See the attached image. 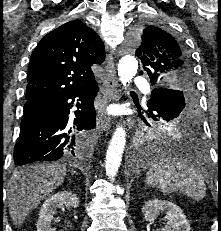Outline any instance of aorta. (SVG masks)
Returning a JSON list of instances; mask_svg holds the SVG:
<instances>
[{
  "label": "aorta",
  "mask_w": 221,
  "mask_h": 231,
  "mask_svg": "<svg viewBox=\"0 0 221 231\" xmlns=\"http://www.w3.org/2000/svg\"><path fill=\"white\" fill-rule=\"evenodd\" d=\"M138 61L132 55L123 56L118 63L120 82L126 86L136 75ZM126 143V132L122 126L116 128L106 153L105 168L107 176L113 181L120 167ZM146 162L148 160L141 159Z\"/></svg>",
  "instance_id": "obj_1"
}]
</instances>
